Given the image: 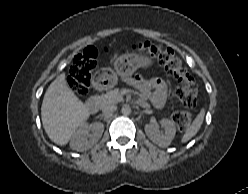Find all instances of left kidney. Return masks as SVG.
Segmentation results:
<instances>
[{"label":"left kidney","instance_id":"1","mask_svg":"<svg viewBox=\"0 0 248 194\" xmlns=\"http://www.w3.org/2000/svg\"><path fill=\"white\" fill-rule=\"evenodd\" d=\"M161 125L165 129L164 134H160L158 127L155 125H149L145 128V132L148 138L160 147H167L174 139L176 128L174 122L169 119L163 118L160 121Z\"/></svg>","mask_w":248,"mask_h":194}]
</instances>
